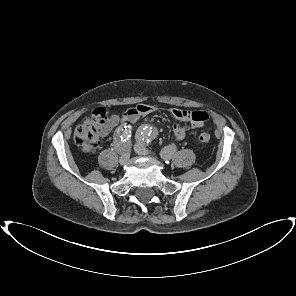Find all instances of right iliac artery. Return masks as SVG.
Returning a JSON list of instances; mask_svg holds the SVG:
<instances>
[{
    "label": "right iliac artery",
    "instance_id": "1",
    "mask_svg": "<svg viewBox=\"0 0 296 296\" xmlns=\"http://www.w3.org/2000/svg\"><path fill=\"white\" fill-rule=\"evenodd\" d=\"M127 133H131V126L120 127L116 134V145L120 152L124 151V138Z\"/></svg>",
    "mask_w": 296,
    "mask_h": 296
}]
</instances>
